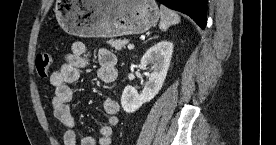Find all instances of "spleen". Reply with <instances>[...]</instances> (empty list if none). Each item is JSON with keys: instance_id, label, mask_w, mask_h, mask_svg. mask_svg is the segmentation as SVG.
<instances>
[{"instance_id": "spleen-1", "label": "spleen", "mask_w": 276, "mask_h": 145, "mask_svg": "<svg viewBox=\"0 0 276 145\" xmlns=\"http://www.w3.org/2000/svg\"><path fill=\"white\" fill-rule=\"evenodd\" d=\"M160 17L159 28L164 31L180 22L179 15L164 5L160 6Z\"/></svg>"}]
</instances>
